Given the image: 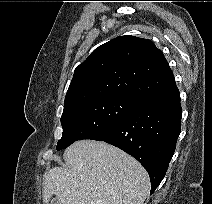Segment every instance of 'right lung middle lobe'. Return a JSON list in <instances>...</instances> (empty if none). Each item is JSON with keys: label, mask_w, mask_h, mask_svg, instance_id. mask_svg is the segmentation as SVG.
I'll return each mask as SVG.
<instances>
[{"label": "right lung middle lobe", "mask_w": 212, "mask_h": 204, "mask_svg": "<svg viewBox=\"0 0 212 204\" xmlns=\"http://www.w3.org/2000/svg\"><path fill=\"white\" fill-rule=\"evenodd\" d=\"M139 102L120 96L101 97L64 108L61 117L62 138L57 150L75 141L101 135L129 115Z\"/></svg>", "instance_id": "right-lung-middle-lobe-1"}]
</instances>
